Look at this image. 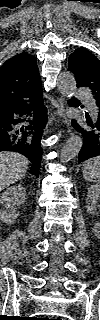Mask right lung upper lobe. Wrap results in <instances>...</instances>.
Masks as SVG:
<instances>
[{
  "label": "right lung upper lobe",
  "mask_w": 100,
  "mask_h": 320,
  "mask_svg": "<svg viewBox=\"0 0 100 320\" xmlns=\"http://www.w3.org/2000/svg\"><path fill=\"white\" fill-rule=\"evenodd\" d=\"M42 92L36 57L20 53L0 69V115Z\"/></svg>",
  "instance_id": "right-lung-upper-lobe-1"
}]
</instances>
